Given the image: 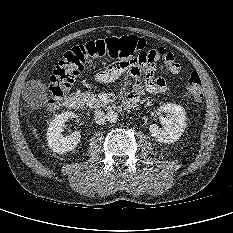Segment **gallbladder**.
I'll return each mask as SVG.
<instances>
[{
    "instance_id": "obj_1",
    "label": "gallbladder",
    "mask_w": 233,
    "mask_h": 233,
    "mask_svg": "<svg viewBox=\"0 0 233 233\" xmlns=\"http://www.w3.org/2000/svg\"><path fill=\"white\" fill-rule=\"evenodd\" d=\"M27 86L32 87V94H34L38 99L43 100L47 98V90L43 84L39 82H31Z\"/></svg>"
}]
</instances>
